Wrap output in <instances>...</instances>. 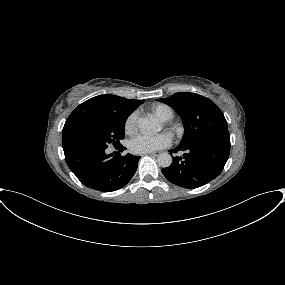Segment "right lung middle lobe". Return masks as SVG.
<instances>
[{
	"mask_svg": "<svg viewBox=\"0 0 285 285\" xmlns=\"http://www.w3.org/2000/svg\"><path fill=\"white\" fill-rule=\"evenodd\" d=\"M127 116L105 118L84 129L74 139L73 146H96L107 148L109 144L120 145L125 136L124 126Z\"/></svg>",
	"mask_w": 285,
	"mask_h": 285,
	"instance_id": "dd1d6c3e",
	"label": "right lung middle lobe"
}]
</instances>
